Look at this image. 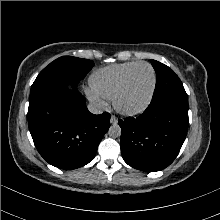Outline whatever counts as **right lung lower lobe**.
<instances>
[{"mask_svg":"<svg viewBox=\"0 0 220 220\" xmlns=\"http://www.w3.org/2000/svg\"><path fill=\"white\" fill-rule=\"evenodd\" d=\"M79 81L53 77L31 87L28 125L40 155L51 165L71 170L88 164L110 127V114L90 113L86 100L67 85Z\"/></svg>","mask_w":220,"mask_h":220,"instance_id":"98d812e1","label":"right lung lower lobe"}]
</instances>
